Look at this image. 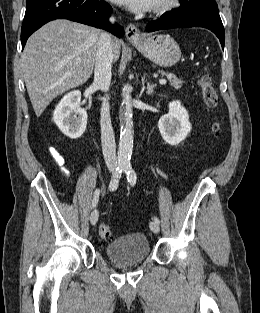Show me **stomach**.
<instances>
[{"label":"stomach","mask_w":260,"mask_h":313,"mask_svg":"<svg viewBox=\"0 0 260 313\" xmlns=\"http://www.w3.org/2000/svg\"><path fill=\"white\" fill-rule=\"evenodd\" d=\"M131 43L149 60L161 67H171L181 58V50L177 42L166 34L144 36Z\"/></svg>","instance_id":"obj_1"}]
</instances>
